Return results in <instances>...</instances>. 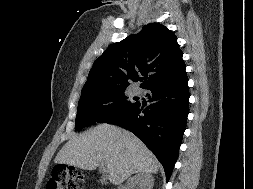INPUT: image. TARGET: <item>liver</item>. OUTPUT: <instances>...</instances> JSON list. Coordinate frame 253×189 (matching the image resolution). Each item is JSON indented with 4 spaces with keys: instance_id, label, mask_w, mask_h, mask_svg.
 <instances>
[{
    "instance_id": "liver-1",
    "label": "liver",
    "mask_w": 253,
    "mask_h": 189,
    "mask_svg": "<svg viewBox=\"0 0 253 189\" xmlns=\"http://www.w3.org/2000/svg\"><path fill=\"white\" fill-rule=\"evenodd\" d=\"M54 161L87 170H94L103 163L109 181L115 185L134 173H157L159 169L154 154L140 139L106 123L72 137Z\"/></svg>"
}]
</instances>
